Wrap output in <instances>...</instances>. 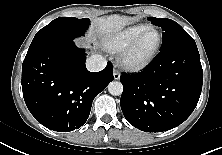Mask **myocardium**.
Instances as JSON below:
<instances>
[{
    "instance_id": "obj_1",
    "label": "myocardium",
    "mask_w": 222,
    "mask_h": 155,
    "mask_svg": "<svg viewBox=\"0 0 222 155\" xmlns=\"http://www.w3.org/2000/svg\"><path fill=\"white\" fill-rule=\"evenodd\" d=\"M155 33L157 35V42L152 50L143 58L136 59L134 57V53L144 40V38L150 34ZM162 44V35L160 31L154 27L149 28L145 32H143L140 36H138L133 42H131L127 47H125L120 56L119 62L123 68L132 72H139L147 68L155 59L157 53Z\"/></svg>"
}]
</instances>
